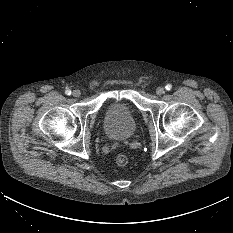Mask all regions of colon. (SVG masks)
Masks as SVG:
<instances>
[{
  "label": "colon",
  "mask_w": 233,
  "mask_h": 233,
  "mask_svg": "<svg viewBox=\"0 0 233 233\" xmlns=\"http://www.w3.org/2000/svg\"><path fill=\"white\" fill-rule=\"evenodd\" d=\"M128 162H129V159L125 154H119L116 157V163L118 166H125L128 164Z\"/></svg>",
  "instance_id": "obj_1"
}]
</instances>
